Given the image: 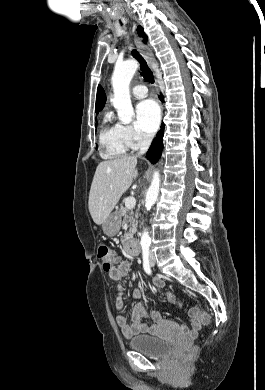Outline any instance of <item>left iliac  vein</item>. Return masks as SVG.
Masks as SVG:
<instances>
[{
	"mask_svg": "<svg viewBox=\"0 0 265 390\" xmlns=\"http://www.w3.org/2000/svg\"><path fill=\"white\" fill-rule=\"evenodd\" d=\"M150 259H151V265L154 266L155 261H154V256L152 253H150Z\"/></svg>",
	"mask_w": 265,
	"mask_h": 390,
	"instance_id": "obj_1",
	"label": "left iliac vein"
}]
</instances>
